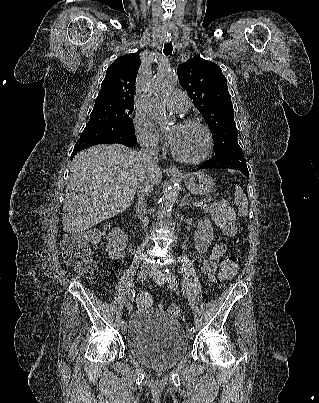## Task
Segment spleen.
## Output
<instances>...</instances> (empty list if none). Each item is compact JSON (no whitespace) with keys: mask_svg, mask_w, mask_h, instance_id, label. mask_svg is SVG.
Here are the masks:
<instances>
[{"mask_svg":"<svg viewBox=\"0 0 319 403\" xmlns=\"http://www.w3.org/2000/svg\"><path fill=\"white\" fill-rule=\"evenodd\" d=\"M234 203L238 207V215L245 217L248 214V200L240 186L235 187Z\"/></svg>","mask_w":319,"mask_h":403,"instance_id":"3e777b00","label":"spleen"}]
</instances>
